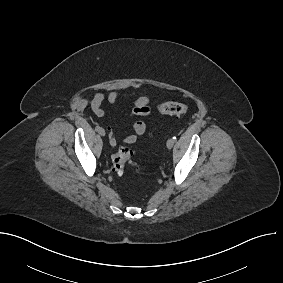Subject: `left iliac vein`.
I'll use <instances>...</instances> for the list:
<instances>
[{
  "label": "left iliac vein",
  "instance_id": "obj_1",
  "mask_svg": "<svg viewBox=\"0 0 283 283\" xmlns=\"http://www.w3.org/2000/svg\"><path fill=\"white\" fill-rule=\"evenodd\" d=\"M174 143H175V140L173 138L168 139L167 144H166L167 148L171 149L173 147Z\"/></svg>",
  "mask_w": 283,
  "mask_h": 283
}]
</instances>
